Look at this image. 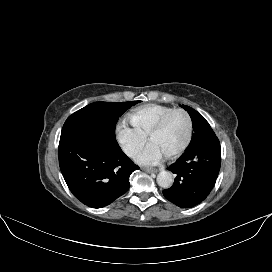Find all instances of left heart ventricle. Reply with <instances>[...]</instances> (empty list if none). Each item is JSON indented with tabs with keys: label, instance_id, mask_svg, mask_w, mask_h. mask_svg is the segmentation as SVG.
I'll list each match as a JSON object with an SVG mask.
<instances>
[{
	"label": "left heart ventricle",
	"instance_id": "1",
	"mask_svg": "<svg viewBox=\"0 0 272 272\" xmlns=\"http://www.w3.org/2000/svg\"><path fill=\"white\" fill-rule=\"evenodd\" d=\"M187 129L186 117L181 113H176L168 119L159 132L151 137L150 141L155 143L166 156L183 144Z\"/></svg>",
	"mask_w": 272,
	"mask_h": 272
}]
</instances>
